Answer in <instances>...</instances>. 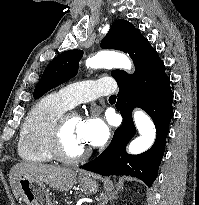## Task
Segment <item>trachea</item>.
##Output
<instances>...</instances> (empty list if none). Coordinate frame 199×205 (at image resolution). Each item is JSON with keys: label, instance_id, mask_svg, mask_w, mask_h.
<instances>
[{"label": "trachea", "instance_id": "obj_1", "mask_svg": "<svg viewBox=\"0 0 199 205\" xmlns=\"http://www.w3.org/2000/svg\"><path fill=\"white\" fill-rule=\"evenodd\" d=\"M109 99H116V95H111Z\"/></svg>", "mask_w": 199, "mask_h": 205}]
</instances>
